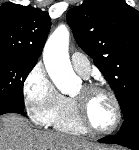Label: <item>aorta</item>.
I'll return each mask as SVG.
<instances>
[{"mask_svg": "<svg viewBox=\"0 0 139 150\" xmlns=\"http://www.w3.org/2000/svg\"><path fill=\"white\" fill-rule=\"evenodd\" d=\"M68 49L69 31L65 25H60L48 38L43 59L50 78L64 94L74 92L79 82L72 69Z\"/></svg>", "mask_w": 139, "mask_h": 150, "instance_id": "aorta-1", "label": "aorta"}]
</instances>
